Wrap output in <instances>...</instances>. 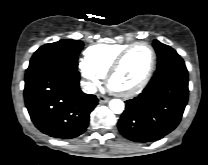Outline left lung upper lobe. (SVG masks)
Masks as SVG:
<instances>
[{
  "label": "left lung upper lobe",
  "instance_id": "left-lung-upper-lobe-1",
  "mask_svg": "<svg viewBox=\"0 0 208 165\" xmlns=\"http://www.w3.org/2000/svg\"><path fill=\"white\" fill-rule=\"evenodd\" d=\"M153 47L155 48L158 55V66L173 59L179 57L178 53L171 47L154 40Z\"/></svg>",
  "mask_w": 208,
  "mask_h": 165
}]
</instances>
